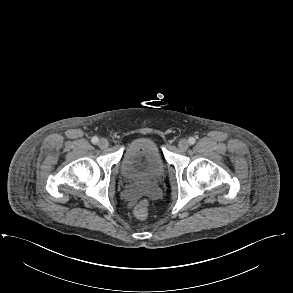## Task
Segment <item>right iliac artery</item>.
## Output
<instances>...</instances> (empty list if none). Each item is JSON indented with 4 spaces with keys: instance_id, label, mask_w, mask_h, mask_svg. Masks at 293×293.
I'll use <instances>...</instances> for the list:
<instances>
[{
    "instance_id": "1",
    "label": "right iliac artery",
    "mask_w": 293,
    "mask_h": 293,
    "mask_svg": "<svg viewBox=\"0 0 293 293\" xmlns=\"http://www.w3.org/2000/svg\"><path fill=\"white\" fill-rule=\"evenodd\" d=\"M98 141H99V139H98V137H93L92 139H91V142L93 143V144H97L98 143Z\"/></svg>"
}]
</instances>
